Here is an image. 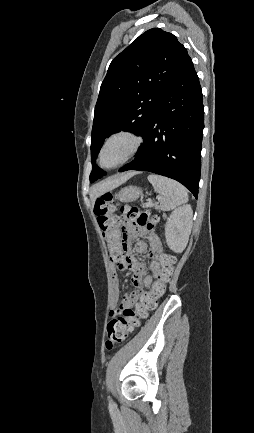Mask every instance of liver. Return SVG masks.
<instances>
[{
	"instance_id": "1",
	"label": "liver",
	"mask_w": 254,
	"mask_h": 433,
	"mask_svg": "<svg viewBox=\"0 0 254 433\" xmlns=\"http://www.w3.org/2000/svg\"><path fill=\"white\" fill-rule=\"evenodd\" d=\"M135 174H136L135 172H130V173H127V174L119 176V177H112V178L106 179V180L94 185L91 188V192H90L91 200L94 201L97 197H99L103 193H105L107 191H111L114 188L120 186L121 184H123L127 180H129Z\"/></svg>"
}]
</instances>
